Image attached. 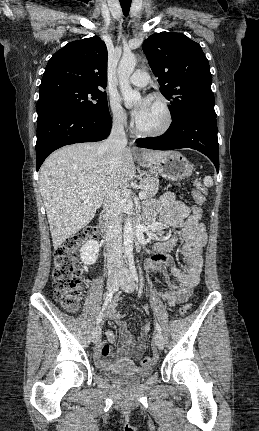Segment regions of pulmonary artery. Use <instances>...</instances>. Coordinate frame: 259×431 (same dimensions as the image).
Instances as JSON below:
<instances>
[{"label": "pulmonary artery", "mask_w": 259, "mask_h": 431, "mask_svg": "<svg viewBox=\"0 0 259 431\" xmlns=\"http://www.w3.org/2000/svg\"><path fill=\"white\" fill-rule=\"evenodd\" d=\"M149 80L148 74L143 70H136L130 78V83L137 87L147 85Z\"/></svg>", "instance_id": "e3ab8cb5"}]
</instances>
